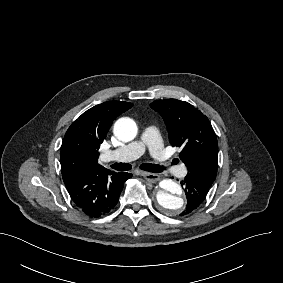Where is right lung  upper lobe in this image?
<instances>
[{"mask_svg":"<svg viewBox=\"0 0 283 283\" xmlns=\"http://www.w3.org/2000/svg\"><path fill=\"white\" fill-rule=\"evenodd\" d=\"M132 106V103L122 101L104 102L85 111L71 124L61 147V162L76 160V168L70 175L105 169L97 163L100 144L113 120ZM70 175L62 176L65 179Z\"/></svg>","mask_w":283,"mask_h":283,"instance_id":"1","label":"right lung upper lobe"}]
</instances>
